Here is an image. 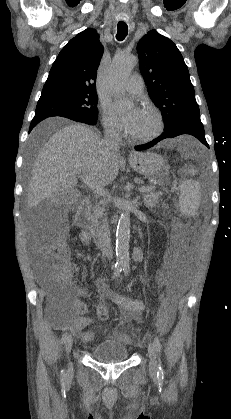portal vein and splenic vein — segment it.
I'll return each instance as SVG.
<instances>
[{
  "label": "portal vein and splenic vein",
  "instance_id": "1",
  "mask_svg": "<svg viewBox=\"0 0 231 419\" xmlns=\"http://www.w3.org/2000/svg\"><path fill=\"white\" fill-rule=\"evenodd\" d=\"M80 178L82 179V181L94 192H96L97 194L103 195L105 196L107 193L105 192V190L98 185L90 175L84 174V173H78ZM151 190L150 187L147 186H142L139 188V191L144 193Z\"/></svg>",
  "mask_w": 231,
  "mask_h": 419
}]
</instances>
